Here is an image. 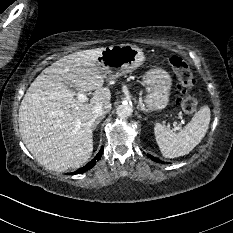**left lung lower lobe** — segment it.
I'll return each mask as SVG.
<instances>
[{"instance_id": "left-lung-lower-lobe-1", "label": "left lung lower lobe", "mask_w": 233, "mask_h": 233, "mask_svg": "<svg viewBox=\"0 0 233 233\" xmlns=\"http://www.w3.org/2000/svg\"><path fill=\"white\" fill-rule=\"evenodd\" d=\"M149 157H150L151 159H153L154 161H157V162H159V163H164V162H161L159 159L154 158V157H153V156H151V155H149Z\"/></svg>"}]
</instances>
